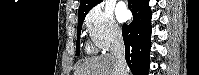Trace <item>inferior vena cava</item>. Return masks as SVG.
<instances>
[{"label": "inferior vena cava", "mask_w": 199, "mask_h": 75, "mask_svg": "<svg viewBox=\"0 0 199 75\" xmlns=\"http://www.w3.org/2000/svg\"><path fill=\"white\" fill-rule=\"evenodd\" d=\"M111 54L115 58V75H126L125 46L121 31L112 35Z\"/></svg>", "instance_id": "602c4592"}]
</instances>
